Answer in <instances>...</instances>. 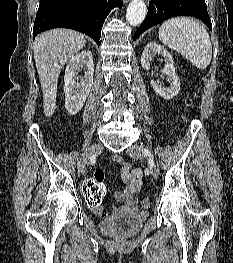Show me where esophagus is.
I'll list each match as a JSON object with an SVG mask.
<instances>
[{
	"instance_id": "1",
	"label": "esophagus",
	"mask_w": 233,
	"mask_h": 263,
	"mask_svg": "<svg viewBox=\"0 0 233 263\" xmlns=\"http://www.w3.org/2000/svg\"><path fill=\"white\" fill-rule=\"evenodd\" d=\"M129 2V0H123V3L124 4H126V3H128Z\"/></svg>"
}]
</instances>
